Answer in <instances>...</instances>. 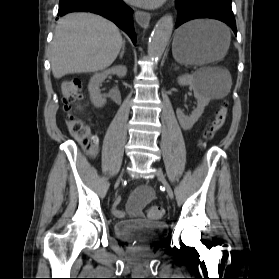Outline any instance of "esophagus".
<instances>
[{"mask_svg": "<svg viewBox=\"0 0 279 279\" xmlns=\"http://www.w3.org/2000/svg\"><path fill=\"white\" fill-rule=\"evenodd\" d=\"M135 20L142 28H148L150 24V14L145 11L136 10L135 11Z\"/></svg>", "mask_w": 279, "mask_h": 279, "instance_id": "1", "label": "esophagus"}]
</instances>
